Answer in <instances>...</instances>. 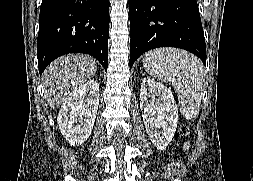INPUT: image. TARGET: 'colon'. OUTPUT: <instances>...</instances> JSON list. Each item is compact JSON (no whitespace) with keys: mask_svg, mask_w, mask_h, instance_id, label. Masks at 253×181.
<instances>
[{"mask_svg":"<svg viewBox=\"0 0 253 181\" xmlns=\"http://www.w3.org/2000/svg\"><path fill=\"white\" fill-rule=\"evenodd\" d=\"M179 133L181 135H187L188 134V128L185 127V126L181 127L180 130H179Z\"/></svg>","mask_w":253,"mask_h":181,"instance_id":"obj_1","label":"colon"}]
</instances>
